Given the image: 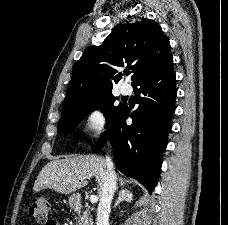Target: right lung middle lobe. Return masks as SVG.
I'll list each match as a JSON object with an SVG mask.
<instances>
[{"mask_svg":"<svg viewBox=\"0 0 228 225\" xmlns=\"http://www.w3.org/2000/svg\"><path fill=\"white\" fill-rule=\"evenodd\" d=\"M116 99L118 98L112 92H107L62 107V117L58 122L59 133L70 132L85 115L98 108L104 113L107 123L111 124L124 107L122 103L114 106Z\"/></svg>","mask_w":228,"mask_h":225,"instance_id":"1","label":"right lung middle lobe"}]
</instances>
